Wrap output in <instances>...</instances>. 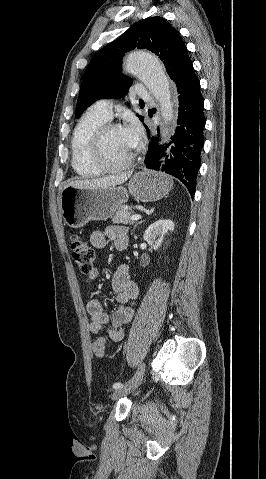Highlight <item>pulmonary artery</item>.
Listing matches in <instances>:
<instances>
[{
  "label": "pulmonary artery",
  "instance_id": "1",
  "mask_svg": "<svg viewBox=\"0 0 266 479\" xmlns=\"http://www.w3.org/2000/svg\"><path fill=\"white\" fill-rule=\"evenodd\" d=\"M136 94L139 98L143 100H151L153 99V94L144 87H138L136 89ZM112 108L113 103L111 100L102 99L97 101L90 110L95 114L103 117L106 120H110L112 118Z\"/></svg>",
  "mask_w": 266,
  "mask_h": 479
}]
</instances>
